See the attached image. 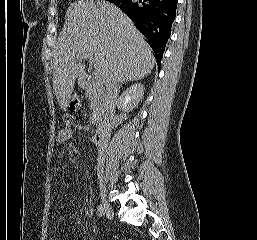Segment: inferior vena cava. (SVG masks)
Returning a JSON list of instances; mask_svg holds the SVG:
<instances>
[{
	"label": "inferior vena cava",
	"instance_id": "602c4592",
	"mask_svg": "<svg viewBox=\"0 0 257 240\" xmlns=\"http://www.w3.org/2000/svg\"><path fill=\"white\" fill-rule=\"evenodd\" d=\"M119 78L114 76L105 84L104 96L106 101V108L104 112V122H103V132L108 134L111 128V121L113 118V112L115 107V102L118 96ZM98 170H103V157L98 159Z\"/></svg>",
	"mask_w": 257,
	"mask_h": 240
}]
</instances>
